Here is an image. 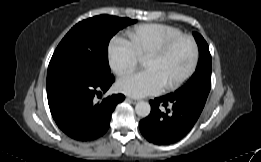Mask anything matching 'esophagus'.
I'll return each instance as SVG.
<instances>
[{
  "mask_svg": "<svg viewBox=\"0 0 261 162\" xmlns=\"http://www.w3.org/2000/svg\"><path fill=\"white\" fill-rule=\"evenodd\" d=\"M126 100H128V101H130V102H132V103H136V102H137V100H134V99L129 98V97H126Z\"/></svg>",
  "mask_w": 261,
  "mask_h": 162,
  "instance_id": "obj_1",
  "label": "esophagus"
}]
</instances>
